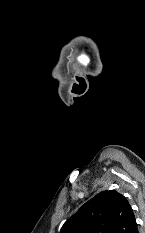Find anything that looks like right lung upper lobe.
<instances>
[{
    "instance_id": "right-lung-upper-lobe-1",
    "label": "right lung upper lobe",
    "mask_w": 145,
    "mask_h": 233,
    "mask_svg": "<svg viewBox=\"0 0 145 233\" xmlns=\"http://www.w3.org/2000/svg\"><path fill=\"white\" fill-rule=\"evenodd\" d=\"M136 226L128 200L110 190L87 201L64 223L60 233H132Z\"/></svg>"
}]
</instances>
